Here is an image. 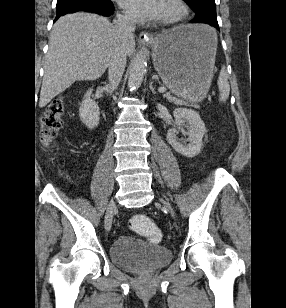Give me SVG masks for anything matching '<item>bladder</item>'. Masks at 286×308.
<instances>
[{"label": "bladder", "mask_w": 286, "mask_h": 308, "mask_svg": "<svg viewBox=\"0 0 286 308\" xmlns=\"http://www.w3.org/2000/svg\"><path fill=\"white\" fill-rule=\"evenodd\" d=\"M172 258L170 249L133 238H119L111 246V259L119 267L134 271L155 270Z\"/></svg>", "instance_id": "31cf9c89"}]
</instances>
